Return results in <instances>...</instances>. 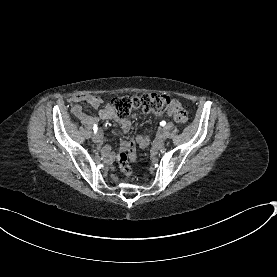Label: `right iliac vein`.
Masks as SVG:
<instances>
[{"instance_id": "1", "label": "right iliac vein", "mask_w": 277, "mask_h": 277, "mask_svg": "<svg viewBox=\"0 0 277 277\" xmlns=\"http://www.w3.org/2000/svg\"><path fill=\"white\" fill-rule=\"evenodd\" d=\"M92 140L94 143H99L100 142V135L99 134H93L92 135Z\"/></svg>"}]
</instances>
